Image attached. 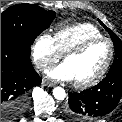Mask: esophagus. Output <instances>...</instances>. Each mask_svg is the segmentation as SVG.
<instances>
[{"mask_svg":"<svg viewBox=\"0 0 122 122\" xmlns=\"http://www.w3.org/2000/svg\"><path fill=\"white\" fill-rule=\"evenodd\" d=\"M42 84H43L44 86H48V87H53V86H54V84H53L52 82H49V81H47V80H43V81H42Z\"/></svg>","mask_w":122,"mask_h":122,"instance_id":"obj_1","label":"esophagus"}]
</instances>
